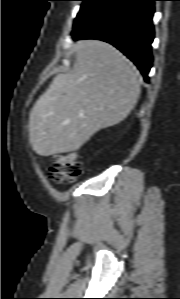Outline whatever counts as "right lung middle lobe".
<instances>
[{
  "mask_svg": "<svg viewBox=\"0 0 180 299\" xmlns=\"http://www.w3.org/2000/svg\"><path fill=\"white\" fill-rule=\"evenodd\" d=\"M83 1L79 13L75 19L74 25L92 13L99 5H101L106 0H80Z\"/></svg>",
  "mask_w": 180,
  "mask_h": 299,
  "instance_id": "right-lung-middle-lobe-1",
  "label": "right lung middle lobe"
}]
</instances>
